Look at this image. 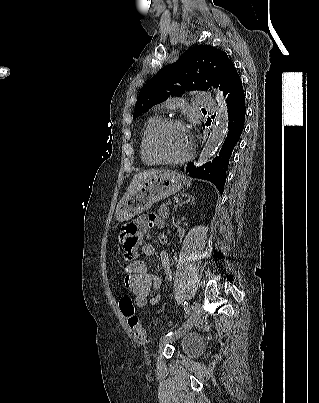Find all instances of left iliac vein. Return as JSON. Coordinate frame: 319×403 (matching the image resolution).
<instances>
[{"label": "left iliac vein", "mask_w": 319, "mask_h": 403, "mask_svg": "<svg viewBox=\"0 0 319 403\" xmlns=\"http://www.w3.org/2000/svg\"><path fill=\"white\" fill-rule=\"evenodd\" d=\"M200 316L201 305L200 303L196 302L192 305L191 315L186 322V325L181 330L175 331L172 335L164 336L159 343V348L162 349L166 344L173 342L185 335L194 326V324L197 323V321L200 319Z\"/></svg>", "instance_id": "1"}]
</instances>
